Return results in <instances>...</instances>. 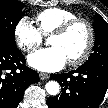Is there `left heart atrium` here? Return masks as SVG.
<instances>
[{"label": "left heart atrium", "mask_w": 108, "mask_h": 108, "mask_svg": "<svg viewBox=\"0 0 108 108\" xmlns=\"http://www.w3.org/2000/svg\"><path fill=\"white\" fill-rule=\"evenodd\" d=\"M67 58L63 51L56 46L38 50L28 57V63L42 72H55L62 69Z\"/></svg>", "instance_id": "left-heart-atrium-1"}]
</instances>
